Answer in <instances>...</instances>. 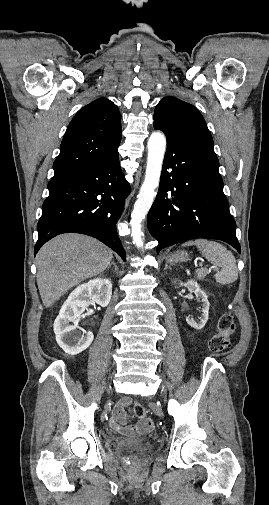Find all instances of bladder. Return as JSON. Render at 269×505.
<instances>
[{
  "label": "bladder",
  "mask_w": 269,
  "mask_h": 505,
  "mask_svg": "<svg viewBox=\"0 0 269 505\" xmlns=\"http://www.w3.org/2000/svg\"><path fill=\"white\" fill-rule=\"evenodd\" d=\"M140 441H142V440H136V442H140Z\"/></svg>",
  "instance_id": "31cf9c89"
}]
</instances>
